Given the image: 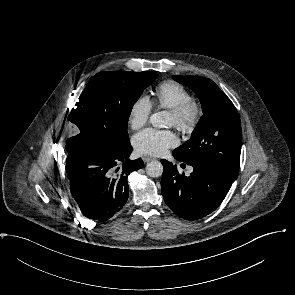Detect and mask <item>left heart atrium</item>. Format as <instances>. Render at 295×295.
Returning a JSON list of instances; mask_svg holds the SVG:
<instances>
[{"mask_svg": "<svg viewBox=\"0 0 295 295\" xmlns=\"http://www.w3.org/2000/svg\"><path fill=\"white\" fill-rule=\"evenodd\" d=\"M133 147L142 155L160 156L178 144L176 134L170 130L145 129L132 139Z\"/></svg>", "mask_w": 295, "mask_h": 295, "instance_id": "obj_1", "label": "left heart atrium"}]
</instances>
